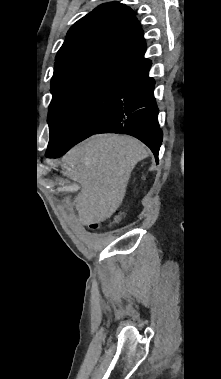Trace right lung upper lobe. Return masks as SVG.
I'll use <instances>...</instances> for the list:
<instances>
[{"mask_svg":"<svg viewBox=\"0 0 221 379\" xmlns=\"http://www.w3.org/2000/svg\"><path fill=\"white\" fill-rule=\"evenodd\" d=\"M134 12L124 4H102L77 21L57 53L52 94L108 77L123 79L150 63Z\"/></svg>","mask_w":221,"mask_h":379,"instance_id":"obj_1","label":"right lung upper lobe"}]
</instances>
